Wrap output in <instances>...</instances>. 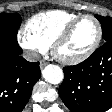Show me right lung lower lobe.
I'll return each mask as SVG.
<instances>
[{"label":"right lung lower lobe","mask_w":112,"mask_h":112,"mask_svg":"<svg viewBox=\"0 0 112 112\" xmlns=\"http://www.w3.org/2000/svg\"><path fill=\"white\" fill-rule=\"evenodd\" d=\"M21 53L19 45L0 43V112H21L41 76L39 63Z\"/></svg>","instance_id":"obj_1"}]
</instances>
